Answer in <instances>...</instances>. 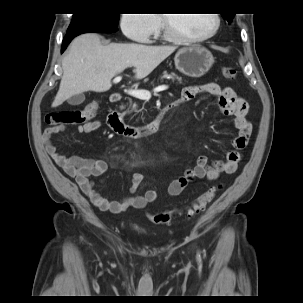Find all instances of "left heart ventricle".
I'll return each instance as SVG.
<instances>
[{"instance_id": "1", "label": "left heart ventricle", "mask_w": 303, "mask_h": 303, "mask_svg": "<svg viewBox=\"0 0 303 303\" xmlns=\"http://www.w3.org/2000/svg\"><path fill=\"white\" fill-rule=\"evenodd\" d=\"M172 28L186 36H201L214 26L212 14H168Z\"/></svg>"}]
</instances>
